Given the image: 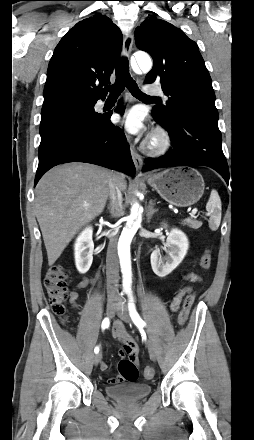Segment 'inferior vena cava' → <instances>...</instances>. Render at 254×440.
<instances>
[{"instance_id": "1", "label": "inferior vena cava", "mask_w": 254, "mask_h": 440, "mask_svg": "<svg viewBox=\"0 0 254 440\" xmlns=\"http://www.w3.org/2000/svg\"><path fill=\"white\" fill-rule=\"evenodd\" d=\"M109 199H110V213L114 216H120L122 214V193L116 183L115 178L112 179L109 184ZM117 228L113 229V235L110 237L107 257H106V275H107V293L108 295L118 294V277H119V265L117 256V236L114 234Z\"/></svg>"}]
</instances>
